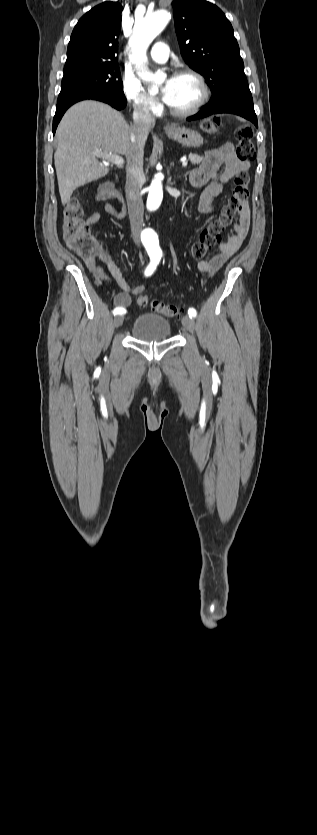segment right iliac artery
<instances>
[{"label": "right iliac artery", "mask_w": 317, "mask_h": 835, "mask_svg": "<svg viewBox=\"0 0 317 835\" xmlns=\"http://www.w3.org/2000/svg\"><path fill=\"white\" fill-rule=\"evenodd\" d=\"M159 260H160V259H159V258H156V257L151 258L149 265H148V266H147V268L145 269V272H144L145 276H151V275L154 273V271H155V269H156V267H157V265H158V263H159ZM125 313H126V310H125V309H123V308H120V307H116V308L113 310V314H114V315H117V314L122 315V314H125Z\"/></svg>", "instance_id": "right-iliac-artery-1"}]
</instances>
